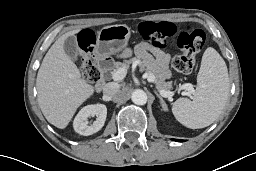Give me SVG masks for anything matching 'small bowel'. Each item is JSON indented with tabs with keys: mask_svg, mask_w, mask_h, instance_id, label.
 <instances>
[{
	"mask_svg": "<svg viewBox=\"0 0 256 171\" xmlns=\"http://www.w3.org/2000/svg\"><path fill=\"white\" fill-rule=\"evenodd\" d=\"M135 53L141 58H145L149 53H151L155 58V62L159 68L161 76H169V55L167 53L159 49L153 48L152 46L146 43H141L138 46H136Z\"/></svg>",
	"mask_w": 256,
	"mask_h": 171,
	"instance_id": "obj_1",
	"label": "small bowel"
}]
</instances>
